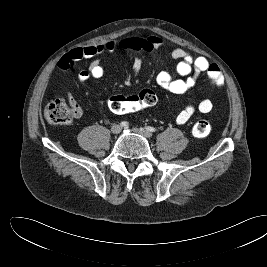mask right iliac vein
Instances as JSON below:
<instances>
[{
	"label": "right iliac vein",
	"mask_w": 267,
	"mask_h": 267,
	"mask_svg": "<svg viewBox=\"0 0 267 267\" xmlns=\"http://www.w3.org/2000/svg\"><path fill=\"white\" fill-rule=\"evenodd\" d=\"M122 130V127L120 125H113L111 127V132L114 133V134H119Z\"/></svg>",
	"instance_id": "obj_1"
}]
</instances>
